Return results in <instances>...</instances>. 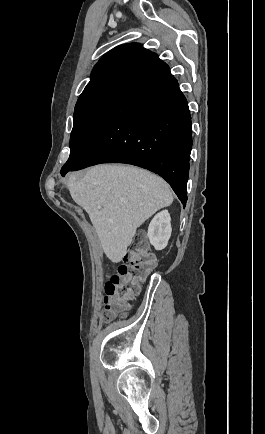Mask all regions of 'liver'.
I'll return each mask as SVG.
<instances>
[{
    "instance_id": "6515ba94",
    "label": "liver",
    "mask_w": 265,
    "mask_h": 434,
    "mask_svg": "<svg viewBox=\"0 0 265 434\" xmlns=\"http://www.w3.org/2000/svg\"><path fill=\"white\" fill-rule=\"evenodd\" d=\"M67 188L89 214L103 252L113 264L122 262L137 228L173 202L167 182L133 166L102 164L74 172Z\"/></svg>"
}]
</instances>
